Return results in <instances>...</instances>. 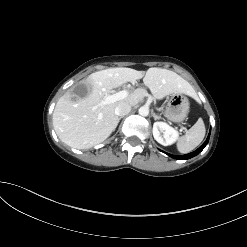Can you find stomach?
<instances>
[{
	"label": "stomach",
	"mask_w": 247,
	"mask_h": 247,
	"mask_svg": "<svg viewBox=\"0 0 247 247\" xmlns=\"http://www.w3.org/2000/svg\"><path fill=\"white\" fill-rule=\"evenodd\" d=\"M189 100L182 94H172L167 101L165 117L175 123L185 120L189 113Z\"/></svg>",
	"instance_id": "0dacf381"
}]
</instances>
